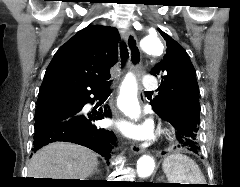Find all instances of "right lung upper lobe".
Instances as JSON below:
<instances>
[{
    "instance_id": "cb5924a9",
    "label": "right lung upper lobe",
    "mask_w": 240,
    "mask_h": 187,
    "mask_svg": "<svg viewBox=\"0 0 240 187\" xmlns=\"http://www.w3.org/2000/svg\"><path fill=\"white\" fill-rule=\"evenodd\" d=\"M119 34L115 28L92 25L63 44L48 65L37 106L79 98L102 88L118 59Z\"/></svg>"
}]
</instances>
